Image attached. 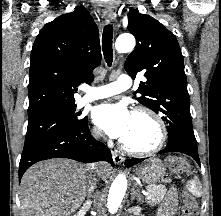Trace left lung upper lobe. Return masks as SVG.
Listing matches in <instances>:
<instances>
[{
	"label": "left lung upper lobe",
	"instance_id": "obj_1",
	"mask_svg": "<svg viewBox=\"0 0 221 216\" xmlns=\"http://www.w3.org/2000/svg\"><path fill=\"white\" fill-rule=\"evenodd\" d=\"M128 18L127 29L136 37L137 45L126 59L125 70L132 78L142 74L147 79L136 91L143 95L138 101L162 116L168 130L167 144L197 146L183 56L175 35L136 10H130Z\"/></svg>",
	"mask_w": 221,
	"mask_h": 216
}]
</instances>
